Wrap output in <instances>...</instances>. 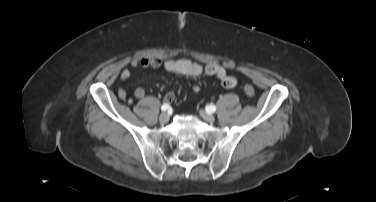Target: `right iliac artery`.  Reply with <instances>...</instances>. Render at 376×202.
Segmentation results:
<instances>
[{
  "label": "right iliac artery",
  "instance_id": "82829eb1",
  "mask_svg": "<svg viewBox=\"0 0 376 202\" xmlns=\"http://www.w3.org/2000/svg\"><path fill=\"white\" fill-rule=\"evenodd\" d=\"M170 108V106H169V104H163L162 106H161V110L162 111H166V110H168Z\"/></svg>",
  "mask_w": 376,
  "mask_h": 202
}]
</instances>
